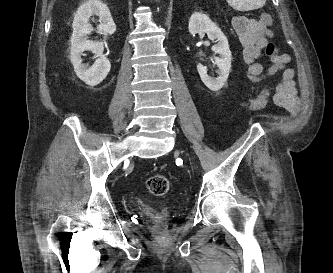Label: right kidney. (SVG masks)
I'll return each instance as SVG.
<instances>
[{"mask_svg":"<svg viewBox=\"0 0 333 273\" xmlns=\"http://www.w3.org/2000/svg\"><path fill=\"white\" fill-rule=\"evenodd\" d=\"M98 16L100 24L97 31L105 38L116 31V25L112 19L107 5L100 0H88L83 3L74 15L73 34L71 36L70 59L76 75L90 86L101 83L108 75L111 65L103 55V43L88 40V35L94 30L90 24L91 16ZM85 50H90L97 57L92 66L84 64L81 56Z\"/></svg>","mask_w":333,"mask_h":273,"instance_id":"1","label":"right kidney"}]
</instances>
